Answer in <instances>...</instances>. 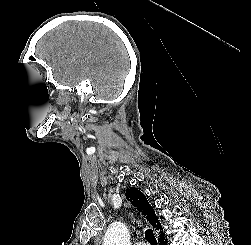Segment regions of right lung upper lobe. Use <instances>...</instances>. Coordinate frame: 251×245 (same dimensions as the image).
<instances>
[{"mask_svg":"<svg viewBox=\"0 0 251 245\" xmlns=\"http://www.w3.org/2000/svg\"><path fill=\"white\" fill-rule=\"evenodd\" d=\"M127 199L132 203L133 206H135L142 214L143 216L150 222V224L156 228L161 230L162 227L160 226V222L157 219L154 210L149 205L146 197L136 188L132 187L128 189L126 192Z\"/></svg>","mask_w":251,"mask_h":245,"instance_id":"obj_1","label":"right lung upper lobe"}]
</instances>
